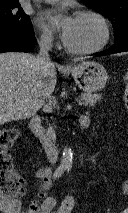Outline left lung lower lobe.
I'll list each match as a JSON object with an SVG mask.
<instances>
[{
  "label": "left lung lower lobe",
  "mask_w": 128,
  "mask_h": 213,
  "mask_svg": "<svg viewBox=\"0 0 128 213\" xmlns=\"http://www.w3.org/2000/svg\"><path fill=\"white\" fill-rule=\"evenodd\" d=\"M125 51H128V36H125L120 41L115 42V44L109 49L96 53L94 55L104 56V55H109V54H114L119 52H125Z\"/></svg>",
  "instance_id": "left-lung-lower-lobe-1"
}]
</instances>
